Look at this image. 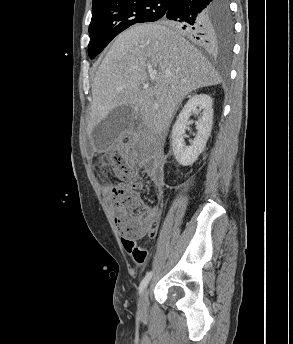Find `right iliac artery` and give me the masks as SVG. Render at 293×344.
I'll return each mask as SVG.
<instances>
[{
    "mask_svg": "<svg viewBox=\"0 0 293 344\" xmlns=\"http://www.w3.org/2000/svg\"><path fill=\"white\" fill-rule=\"evenodd\" d=\"M152 277V272H148L144 279L141 281L140 286H139V293L142 294L147 287L150 279Z\"/></svg>",
    "mask_w": 293,
    "mask_h": 344,
    "instance_id": "right-iliac-artery-1",
    "label": "right iliac artery"
}]
</instances>
